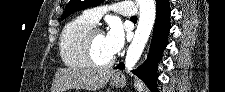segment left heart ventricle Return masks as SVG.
I'll return each mask as SVG.
<instances>
[{
    "label": "left heart ventricle",
    "mask_w": 225,
    "mask_h": 92,
    "mask_svg": "<svg viewBox=\"0 0 225 92\" xmlns=\"http://www.w3.org/2000/svg\"><path fill=\"white\" fill-rule=\"evenodd\" d=\"M92 52L98 63H106L113 58L108 49L105 33H98L94 36Z\"/></svg>",
    "instance_id": "left-heart-ventricle-1"
}]
</instances>
